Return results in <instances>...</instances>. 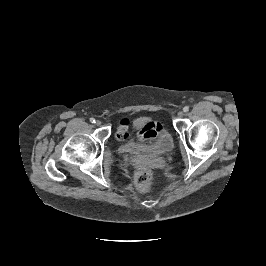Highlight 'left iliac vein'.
Segmentation results:
<instances>
[{
    "instance_id": "1",
    "label": "left iliac vein",
    "mask_w": 266,
    "mask_h": 266,
    "mask_svg": "<svg viewBox=\"0 0 266 266\" xmlns=\"http://www.w3.org/2000/svg\"><path fill=\"white\" fill-rule=\"evenodd\" d=\"M177 115L179 118H182L184 116V113H183V111H179Z\"/></svg>"
}]
</instances>
